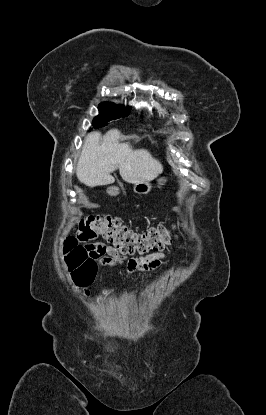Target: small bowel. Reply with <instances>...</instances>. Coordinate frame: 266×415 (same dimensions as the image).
<instances>
[{
    "label": "small bowel",
    "instance_id": "obj_1",
    "mask_svg": "<svg viewBox=\"0 0 266 415\" xmlns=\"http://www.w3.org/2000/svg\"><path fill=\"white\" fill-rule=\"evenodd\" d=\"M96 261L101 265H125L129 273L153 271L168 262L167 255L162 251H155L145 256L128 258L116 248L103 242L88 244ZM86 296L90 295L89 289H84Z\"/></svg>",
    "mask_w": 266,
    "mask_h": 415
}]
</instances>
